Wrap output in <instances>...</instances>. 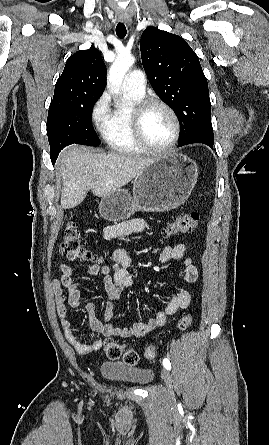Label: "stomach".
<instances>
[{
    "label": "stomach",
    "instance_id": "stomach-1",
    "mask_svg": "<svg viewBox=\"0 0 269 445\" xmlns=\"http://www.w3.org/2000/svg\"><path fill=\"white\" fill-rule=\"evenodd\" d=\"M198 177V168L182 154L156 158L133 182V194L118 189L102 197L101 216L112 222L128 219L136 211L165 212L184 204Z\"/></svg>",
    "mask_w": 269,
    "mask_h": 445
}]
</instances>
